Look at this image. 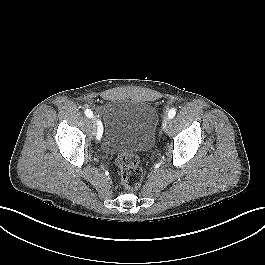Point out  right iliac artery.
Masks as SVG:
<instances>
[{
    "mask_svg": "<svg viewBox=\"0 0 265 265\" xmlns=\"http://www.w3.org/2000/svg\"><path fill=\"white\" fill-rule=\"evenodd\" d=\"M84 113H85V115L88 118H93L94 117L93 112L90 109H86ZM97 125H98V132H97V136L96 137L99 140L101 138V136H102V132H101V122L98 121L97 122Z\"/></svg>",
    "mask_w": 265,
    "mask_h": 265,
    "instance_id": "1",
    "label": "right iliac artery"
}]
</instances>
